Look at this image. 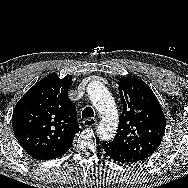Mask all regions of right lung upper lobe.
I'll use <instances>...</instances> for the list:
<instances>
[{"instance_id": "cb5924a9", "label": "right lung upper lobe", "mask_w": 188, "mask_h": 188, "mask_svg": "<svg viewBox=\"0 0 188 188\" xmlns=\"http://www.w3.org/2000/svg\"><path fill=\"white\" fill-rule=\"evenodd\" d=\"M72 78L50 75L18 101L12 115L14 134L33 158L69 148L80 130L76 107L68 98Z\"/></svg>"}]
</instances>
